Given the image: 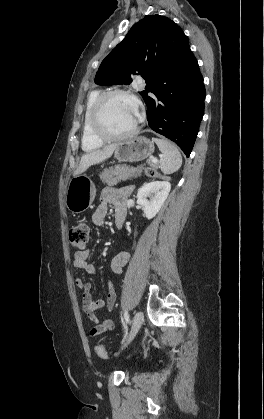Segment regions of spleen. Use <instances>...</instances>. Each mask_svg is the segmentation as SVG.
Returning a JSON list of instances; mask_svg holds the SVG:
<instances>
[{
    "label": "spleen",
    "mask_w": 264,
    "mask_h": 419,
    "mask_svg": "<svg viewBox=\"0 0 264 419\" xmlns=\"http://www.w3.org/2000/svg\"><path fill=\"white\" fill-rule=\"evenodd\" d=\"M162 155L160 157V169L164 174H172L176 172L182 165V156L178 148L165 139L154 138Z\"/></svg>",
    "instance_id": "3e777b00"
}]
</instances>
